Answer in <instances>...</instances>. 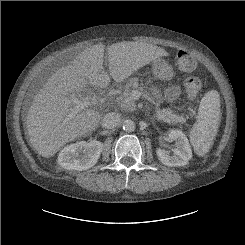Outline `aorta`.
I'll return each instance as SVG.
<instances>
[{
  "mask_svg": "<svg viewBox=\"0 0 245 245\" xmlns=\"http://www.w3.org/2000/svg\"><path fill=\"white\" fill-rule=\"evenodd\" d=\"M136 128V124L134 121L132 120H125L123 122V129L126 132H133Z\"/></svg>",
  "mask_w": 245,
  "mask_h": 245,
  "instance_id": "1",
  "label": "aorta"
}]
</instances>
